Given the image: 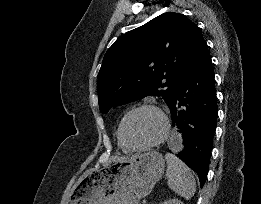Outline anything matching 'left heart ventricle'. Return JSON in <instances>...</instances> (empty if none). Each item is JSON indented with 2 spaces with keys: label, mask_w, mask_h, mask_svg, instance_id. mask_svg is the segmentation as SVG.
Masks as SVG:
<instances>
[{
  "label": "left heart ventricle",
  "mask_w": 261,
  "mask_h": 204,
  "mask_svg": "<svg viewBox=\"0 0 261 204\" xmlns=\"http://www.w3.org/2000/svg\"><path fill=\"white\" fill-rule=\"evenodd\" d=\"M161 132L158 116L148 110L131 115L125 122L123 134L130 145L139 146L156 139Z\"/></svg>",
  "instance_id": "1"
}]
</instances>
